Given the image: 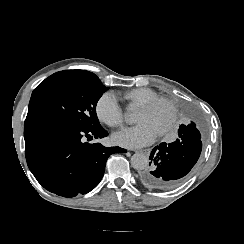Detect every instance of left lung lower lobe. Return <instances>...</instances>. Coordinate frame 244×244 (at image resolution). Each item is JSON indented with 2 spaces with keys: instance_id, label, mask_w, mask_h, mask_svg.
<instances>
[{
  "instance_id": "1",
  "label": "left lung lower lobe",
  "mask_w": 244,
  "mask_h": 244,
  "mask_svg": "<svg viewBox=\"0 0 244 244\" xmlns=\"http://www.w3.org/2000/svg\"><path fill=\"white\" fill-rule=\"evenodd\" d=\"M179 138L170 144L156 146L150 155L149 168L139 174L140 181L153 189L168 191L179 186L196 164L202 150L201 134L197 119L182 124Z\"/></svg>"
}]
</instances>
